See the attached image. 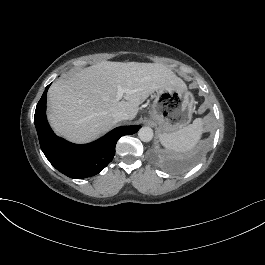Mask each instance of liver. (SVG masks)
Listing matches in <instances>:
<instances>
[{
    "mask_svg": "<svg viewBox=\"0 0 265 265\" xmlns=\"http://www.w3.org/2000/svg\"><path fill=\"white\" fill-rule=\"evenodd\" d=\"M120 89L134 90L118 100ZM186 86L161 64L100 62L56 81L48 91V118L53 129L73 141H87L117 124L116 111L133 120L139 106L155 92L184 93Z\"/></svg>",
    "mask_w": 265,
    "mask_h": 265,
    "instance_id": "6515ba94",
    "label": "liver"
}]
</instances>
